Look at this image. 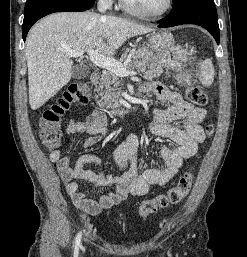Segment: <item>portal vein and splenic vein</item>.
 <instances>
[{
    "instance_id": "1",
    "label": "portal vein and splenic vein",
    "mask_w": 247,
    "mask_h": 257,
    "mask_svg": "<svg viewBox=\"0 0 247 257\" xmlns=\"http://www.w3.org/2000/svg\"><path fill=\"white\" fill-rule=\"evenodd\" d=\"M90 61L98 67L107 69L119 77L135 76V72L128 71L119 61L100 55L97 51L89 49L88 51ZM66 54L69 57H78L84 54L83 50L66 49Z\"/></svg>"
}]
</instances>
